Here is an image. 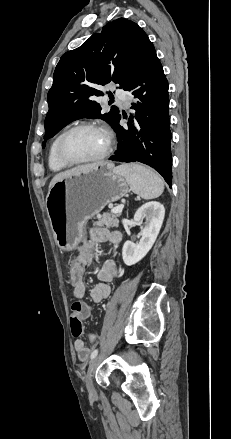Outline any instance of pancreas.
I'll list each match as a JSON object with an SVG mask.
<instances>
[{"label": "pancreas", "mask_w": 231, "mask_h": 439, "mask_svg": "<svg viewBox=\"0 0 231 439\" xmlns=\"http://www.w3.org/2000/svg\"><path fill=\"white\" fill-rule=\"evenodd\" d=\"M120 214H109L105 213L97 221L93 222L96 226H106L107 228H117L119 226Z\"/></svg>", "instance_id": "1"}]
</instances>
